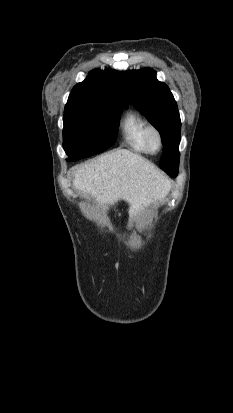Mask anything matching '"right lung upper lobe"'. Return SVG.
Returning <instances> with one entry per match:
<instances>
[{
    "label": "right lung upper lobe",
    "instance_id": "cb5924a9",
    "mask_svg": "<svg viewBox=\"0 0 233 413\" xmlns=\"http://www.w3.org/2000/svg\"><path fill=\"white\" fill-rule=\"evenodd\" d=\"M69 97L124 102L127 105L122 78L116 70L91 71L85 81L73 87Z\"/></svg>",
    "mask_w": 233,
    "mask_h": 413
}]
</instances>
